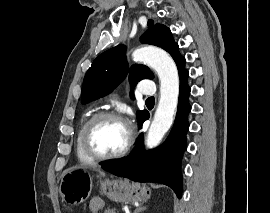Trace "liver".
Instances as JSON below:
<instances>
[{"label":"liver","mask_w":270,"mask_h":213,"mask_svg":"<svg viewBox=\"0 0 270 213\" xmlns=\"http://www.w3.org/2000/svg\"><path fill=\"white\" fill-rule=\"evenodd\" d=\"M98 171H99V173H100L101 175H103V176L105 175L104 172H101L100 170H98Z\"/></svg>","instance_id":"obj_1"}]
</instances>
